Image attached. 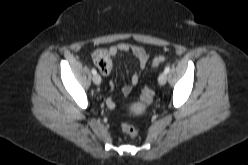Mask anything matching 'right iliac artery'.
<instances>
[{"label":"right iliac artery","instance_id":"obj_1","mask_svg":"<svg viewBox=\"0 0 248 165\" xmlns=\"http://www.w3.org/2000/svg\"><path fill=\"white\" fill-rule=\"evenodd\" d=\"M92 74H93V75L97 74L96 69H94V68L92 69Z\"/></svg>","mask_w":248,"mask_h":165}]
</instances>
